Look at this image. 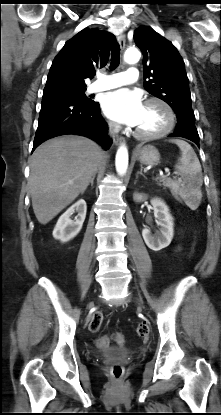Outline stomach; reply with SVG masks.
Returning a JSON list of instances; mask_svg holds the SVG:
<instances>
[{
  "label": "stomach",
  "mask_w": 221,
  "mask_h": 415,
  "mask_svg": "<svg viewBox=\"0 0 221 415\" xmlns=\"http://www.w3.org/2000/svg\"><path fill=\"white\" fill-rule=\"evenodd\" d=\"M134 157L144 165H157L160 163V153L152 145L138 146L134 150Z\"/></svg>",
  "instance_id": "0dacf381"
}]
</instances>
